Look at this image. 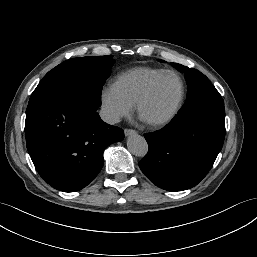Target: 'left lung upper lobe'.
<instances>
[{
  "label": "left lung upper lobe",
  "instance_id": "left-lung-upper-lobe-1",
  "mask_svg": "<svg viewBox=\"0 0 257 257\" xmlns=\"http://www.w3.org/2000/svg\"><path fill=\"white\" fill-rule=\"evenodd\" d=\"M162 62V60H159ZM178 71L185 74L188 85V94L185 105L181 110H190L209 101L221 100L222 97L209 79L201 72L185 67L181 64L171 63Z\"/></svg>",
  "mask_w": 257,
  "mask_h": 257
}]
</instances>
